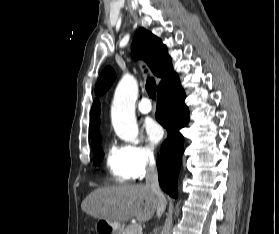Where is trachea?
<instances>
[{"label": "trachea", "mask_w": 279, "mask_h": 234, "mask_svg": "<svg viewBox=\"0 0 279 234\" xmlns=\"http://www.w3.org/2000/svg\"><path fill=\"white\" fill-rule=\"evenodd\" d=\"M146 91L150 98L156 99V82L153 78L148 77L146 82Z\"/></svg>", "instance_id": "trachea-1"}]
</instances>
